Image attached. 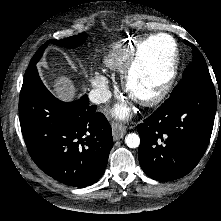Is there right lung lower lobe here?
<instances>
[{
    "mask_svg": "<svg viewBox=\"0 0 221 221\" xmlns=\"http://www.w3.org/2000/svg\"><path fill=\"white\" fill-rule=\"evenodd\" d=\"M19 118L28 152L47 175L79 188L101 178L113 145L112 131L87 95L69 103L58 100L36 69L24 78Z\"/></svg>",
    "mask_w": 221,
    "mask_h": 221,
    "instance_id": "obj_1",
    "label": "right lung lower lobe"
}]
</instances>
